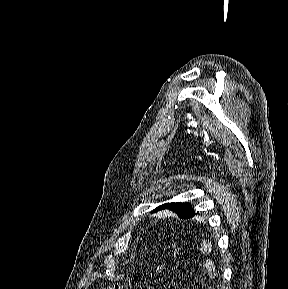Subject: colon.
<instances>
[{
    "instance_id": "obj_1",
    "label": "colon",
    "mask_w": 288,
    "mask_h": 289,
    "mask_svg": "<svg viewBox=\"0 0 288 289\" xmlns=\"http://www.w3.org/2000/svg\"><path fill=\"white\" fill-rule=\"evenodd\" d=\"M100 289H127L125 285H121V284H115L113 286H109V287H102ZM147 289H153V288H147Z\"/></svg>"
}]
</instances>
